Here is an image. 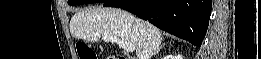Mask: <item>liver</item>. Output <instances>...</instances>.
Listing matches in <instances>:
<instances>
[{"instance_id": "1", "label": "liver", "mask_w": 261, "mask_h": 59, "mask_svg": "<svg viewBox=\"0 0 261 59\" xmlns=\"http://www.w3.org/2000/svg\"><path fill=\"white\" fill-rule=\"evenodd\" d=\"M70 31L73 37L91 42H98L104 36L116 37L135 46L136 59H150L160 50L163 41L158 28L117 8L93 7L78 11L70 20Z\"/></svg>"}]
</instances>
